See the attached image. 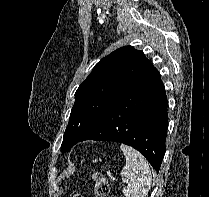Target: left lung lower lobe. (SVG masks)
Here are the masks:
<instances>
[{
  "label": "left lung lower lobe",
  "mask_w": 209,
  "mask_h": 197,
  "mask_svg": "<svg viewBox=\"0 0 209 197\" xmlns=\"http://www.w3.org/2000/svg\"><path fill=\"white\" fill-rule=\"evenodd\" d=\"M165 87L153 68L118 97L80 139L115 141L132 146L159 171L168 126Z\"/></svg>",
  "instance_id": "0a47b994"
}]
</instances>
